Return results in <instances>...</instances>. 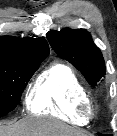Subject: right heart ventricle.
Instances as JSON below:
<instances>
[{"instance_id": "1", "label": "right heart ventricle", "mask_w": 117, "mask_h": 136, "mask_svg": "<svg viewBox=\"0 0 117 136\" xmlns=\"http://www.w3.org/2000/svg\"><path fill=\"white\" fill-rule=\"evenodd\" d=\"M88 100L87 91L67 64L56 62L43 70L32 83L26 98V109L34 115H49L77 125L86 123L78 113Z\"/></svg>"}]
</instances>
